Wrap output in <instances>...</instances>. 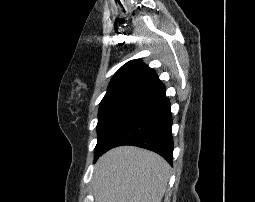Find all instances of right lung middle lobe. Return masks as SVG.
I'll list each match as a JSON object with an SVG mask.
<instances>
[{
	"instance_id": "dd1d6c3e",
	"label": "right lung middle lobe",
	"mask_w": 255,
	"mask_h": 202,
	"mask_svg": "<svg viewBox=\"0 0 255 202\" xmlns=\"http://www.w3.org/2000/svg\"><path fill=\"white\" fill-rule=\"evenodd\" d=\"M136 112L118 111L98 115V141L94 150V161L101 156L113 136L126 124Z\"/></svg>"
}]
</instances>
